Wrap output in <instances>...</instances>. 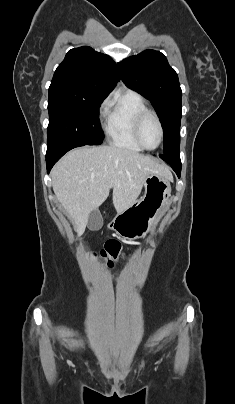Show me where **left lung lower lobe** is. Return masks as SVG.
<instances>
[{"label":"left lung lower lobe","instance_id":"obj_1","mask_svg":"<svg viewBox=\"0 0 235 404\" xmlns=\"http://www.w3.org/2000/svg\"><path fill=\"white\" fill-rule=\"evenodd\" d=\"M159 157L167 162L173 170L176 172L177 176L180 178L181 175V160L180 156H168L160 154Z\"/></svg>","mask_w":235,"mask_h":404}]
</instances>
